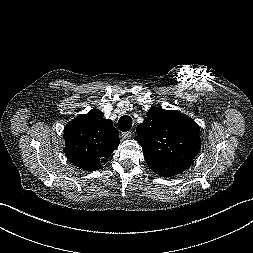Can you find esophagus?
<instances>
[{
  "instance_id": "obj_1",
  "label": "esophagus",
  "mask_w": 253,
  "mask_h": 253,
  "mask_svg": "<svg viewBox=\"0 0 253 253\" xmlns=\"http://www.w3.org/2000/svg\"><path fill=\"white\" fill-rule=\"evenodd\" d=\"M122 137L123 139H129L132 137V132L128 131V132L122 133Z\"/></svg>"
}]
</instances>
